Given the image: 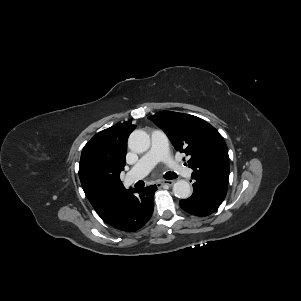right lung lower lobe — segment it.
<instances>
[{
    "label": "right lung lower lobe",
    "mask_w": 301,
    "mask_h": 301,
    "mask_svg": "<svg viewBox=\"0 0 301 301\" xmlns=\"http://www.w3.org/2000/svg\"><path fill=\"white\" fill-rule=\"evenodd\" d=\"M156 190V185L126 190L112 214L104 222L127 232L140 229L152 215Z\"/></svg>",
    "instance_id": "obj_1"
}]
</instances>
